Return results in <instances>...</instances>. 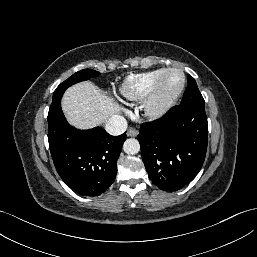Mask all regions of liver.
<instances>
[{
	"label": "liver",
	"instance_id": "liver-1",
	"mask_svg": "<svg viewBox=\"0 0 257 257\" xmlns=\"http://www.w3.org/2000/svg\"><path fill=\"white\" fill-rule=\"evenodd\" d=\"M61 104L68 122L78 129L93 128L121 111L118 103L92 82L68 88Z\"/></svg>",
	"mask_w": 257,
	"mask_h": 257
}]
</instances>
